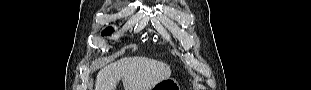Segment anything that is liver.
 Masks as SVG:
<instances>
[{"label":"liver","mask_w":311,"mask_h":90,"mask_svg":"<svg viewBox=\"0 0 311 90\" xmlns=\"http://www.w3.org/2000/svg\"><path fill=\"white\" fill-rule=\"evenodd\" d=\"M171 76L170 66L146 57H125L98 72L95 90H116L122 79L124 90H152Z\"/></svg>","instance_id":"liver-1"}]
</instances>
